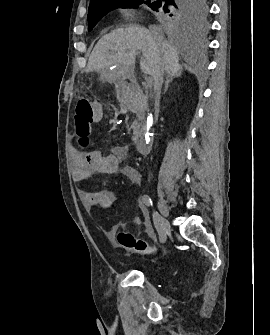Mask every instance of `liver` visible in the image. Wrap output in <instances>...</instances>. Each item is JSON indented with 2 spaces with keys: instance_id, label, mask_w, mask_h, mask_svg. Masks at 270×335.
Masks as SVG:
<instances>
[{
  "instance_id": "obj_1",
  "label": "liver",
  "mask_w": 270,
  "mask_h": 335,
  "mask_svg": "<svg viewBox=\"0 0 270 335\" xmlns=\"http://www.w3.org/2000/svg\"><path fill=\"white\" fill-rule=\"evenodd\" d=\"M138 52H142L144 58L140 64L144 74L154 76L158 72H166L175 78L181 76L177 48L165 42L163 36L155 40L150 30L143 26L117 28L102 36L89 56L85 72H103L116 66L122 80H125L134 74Z\"/></svg>"
}]
</instances>
